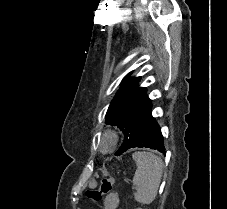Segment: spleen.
Masks as SVG:
<instances>
[{
	"label": "spleen",
	"instance_id": "obj_1",
	"mask_svg": "<svg viewBox=\"0 0 227 209\" xmlns=\"http://www.w3.org/2000/svg\"><path fill=\"white\" fill-rule=\"evenodd\" d=\"M137 169L133 177L135 185L134 199L142 205H149L157 197L161 177L163 173V163L160 157L147 153V151H136L133 153Z\"/></svg>",
	"mask_w": 227,
	"mask_h": 209
}]
</instances>
